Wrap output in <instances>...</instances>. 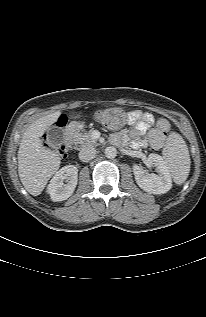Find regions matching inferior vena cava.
Returning <instances> with one entry per match:
<instances>
[{
  "label": "inferior vena cava",
  "mask_w": 206,
  "mask_h": 317,
  "mask_svg": "<svg viewBox=\"0 0 206 317\" xmlns=\"http://www.w3.org/2000/svg\"><path fill=\"white\" fill-rule=\"evenodd\" d=\"M96 156V149L93 147H84L79 152V159L83 162H88L95 158Z\"/></svg>",
  "instance_id": "1"
}]
</instances>
